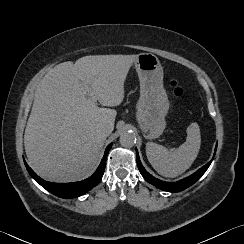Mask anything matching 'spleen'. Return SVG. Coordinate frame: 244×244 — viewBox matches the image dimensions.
Returning a JSON list of instances; mask_svg holds the SVG:
<instances>
[{
	"mask_svg": "<svg viewBox=\"0 0 244 244\" xmlns=\"http://www.w3.org/2000/svg\"><path fill=\"white\" fill-rule=\"evenodd\" d=\"M201 145L200 129L197 123H191L187 128L186 141L176 150L148 142L146 155L152 167L164 177H177L188 170L195 161Z\"/></svg>",
	"mask_w": 244,
	"mask_h": 244,
	"instance_id": "1",
	"label": "spleen"
}]
</instances>
